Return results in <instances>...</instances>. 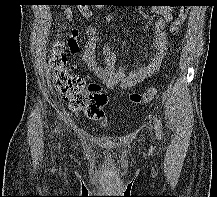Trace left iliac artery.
<instances>
[{"label": "left iliac artery", "mask_w": 217, "mask_h": 197, "mask_svg": "<svg viewBox=\"0 0 217 197\" xmlns=\"http://www.w3.org/2000/svg\"><path fill=\"white\" fill-rule=\"evenodd\" d=\"M153 120H154V124H155L156 135H157L158 139H160L161 134H162V125H161V123L157 117L153 116Z\"/></svg>", "instance_id": "44dca946"}]
</instances>
